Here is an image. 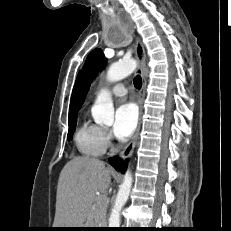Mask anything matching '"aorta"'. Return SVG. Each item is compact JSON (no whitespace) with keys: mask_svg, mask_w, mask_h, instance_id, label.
<instances>
[{"mask_svg":"<svg viewBox=\"0 0 231 231\" xmlns=\"http://www.w3.org/2000/svg\"><path fill=\"white\" fill-rule=\"evenodd\" d=\"M137 67L134 59H123L110 65L107 71V79L111 82L120 81L129 76ZM92 116L97 124L111 125L114 122V107L111 96L108 92L102 91L95 101L92 108ZM132 186V174L126 171L121 184L115 204L109 218V228H119L120 212L126 203Z\"/></svg>","mask_w":231,"mask_h":231,"instance_id":"762f6f07","label":"aorta"}]
</instances>
